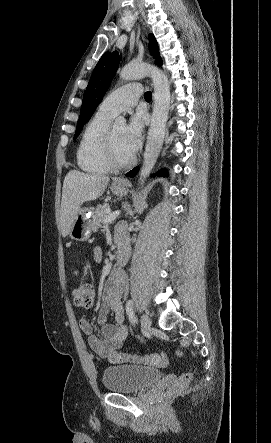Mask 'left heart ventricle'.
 Masks as SVG:
<instances>
[{
	"label": "left heart ventricle",
	"mask_w": 271,
	"mask_h": 443,
	"mask_svg": "<svg viewBox=\"0 0 271 443\" xmlns=\"http://www.w3.org/2000/svg\"><path fill=\"white\" fill-rule=\"evenodd\" d=\"M113 133H114V143L119 157L122 159L130 158L132 154L126 149L124 145V133H125L124 124L114 125Z\"/></svg>",
	"instance_id": "b2bd125f"
}]
</instances>
